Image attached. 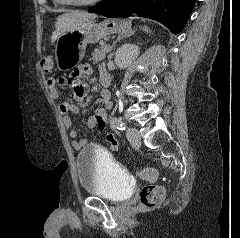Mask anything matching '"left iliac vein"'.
I'll return each instance as SVG.
<instances>
[{"label": "left iliac vein", "mask_w": 240, "mask_h": 238, "mask_svg": "<svg viewBox=\"0 0 240 238\" xmlns=\"http://www.w3.org/2000/svg\"><path fill=\"white\" fill-rule=\"evenodd\" d=\"M126 136L132 146H139L141 144V137L139 131L135 127H130L126 130Z\"/></svg>", "instance_id": "4c4485c4"}]
</instances>
